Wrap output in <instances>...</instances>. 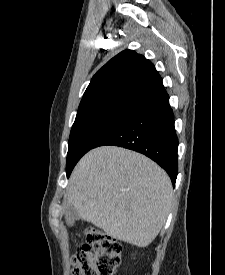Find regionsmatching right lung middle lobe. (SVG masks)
Instances as JSON below:
<instances>
[{
    "label": "right lung middle lobe",
    "instance_id": "right-lung-middle-lobe-1",
    "mask_svg": "<svg viewBox=\"0 0 225 275\" xmlns=\"http://www.w3.org/2000/svg\"><path fill=\"white\" fill-rule=\"evenodd\" d=\"M128 114L106 112L75 120L69 138L67 154V177L79 159L94 148L96 144Z\"/></svg>",
    "mask_w": 225,
    "mask_h": 275
}]
</instances>
